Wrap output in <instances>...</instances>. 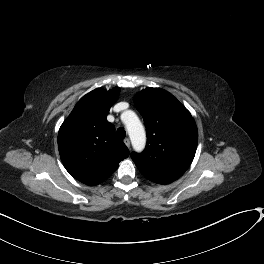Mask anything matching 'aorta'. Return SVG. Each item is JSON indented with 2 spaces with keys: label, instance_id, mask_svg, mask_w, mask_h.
<instances>
[{
  "label": "aorta",
  "instance_id": "762f6f07",
  "mask_svg": "<svg viewBox=\"0 0 264 264\" xmlns=\"http://www.w3.org/2000/svg\"><path fill=\"white\" fill-rule=\"evenodd\" d=\"M123 122L126 125L133 148L136 151L143 150L146 144V133L138 116L133 111H126Z\"/></svg>",
  "mask_w": 264,
  "mask_h": 264
}]
</instances>
